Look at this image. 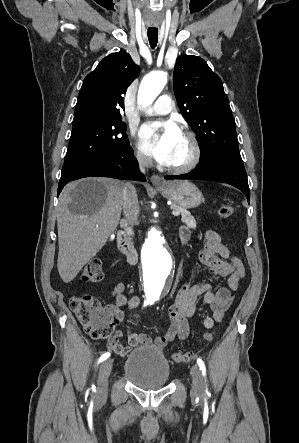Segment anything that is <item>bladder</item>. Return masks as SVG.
Instances as JSON below:
<instances>
[{"mask_svg": "<svg viewBox=\"0 0 299 443\" xmlns=\"http://www.w3.org/2000/svg\"><path fill=\"white\" fill-rule=\"evenodd\" d=\"M124 375L137 387L157 389L170 378V364L164 352L155 347L134 349L125 359Z\"/></svg>", "mask_w": 299, "mask_h": 443, "instance_id": "obj_1", "label": "bladder"}]
</instances>
